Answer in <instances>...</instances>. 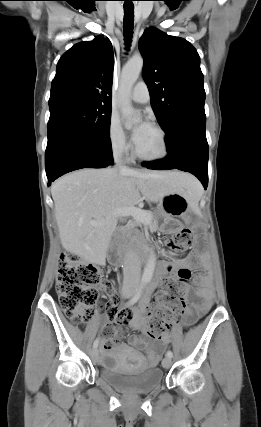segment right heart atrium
Listing matches in <instances>:
<instances>
[{
	"mask_svg": "<svg viewBox=\"0 0 261 427\" xmlns=\"http://www.w3.org/2000/svg\"><path fill=\"white\" fill-rule=\"evenodd\" d=\"M107 136L110 148L113 153L119 156H125L128 154L130 150V144L123 128L120 125L119 120L115 116L110 118Z\"/></svg>",
	"mask_w": 261,
	"mask_h": 427,
	"instance_id": "d8ad5b80",
	"label": "right heart atrium"
}]
</instances>
